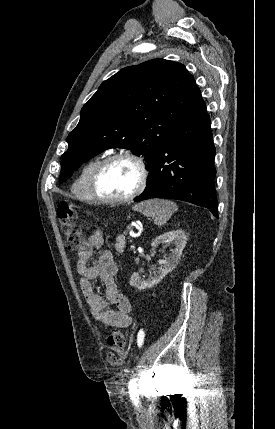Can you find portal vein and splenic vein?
Listing matches in <instances>:
<instances>
[{
  "label": "portal vein and splenic vein",
  "instance_id": "obj_1",
  "mask_svg": "<svg viewBox=\"0 0 275 429\" xmlns=\"http://www.w3.org/2000/svg\"><path fill=\"white\" fill-rule=\"evenodd\" d=\"M130 235H131V236H134V232H133V231H131V232H130Z\"/></svg>",
  "mask_w": 275,
  "mask_h": 429
}]
</instances>
